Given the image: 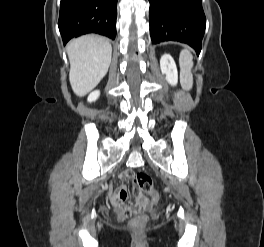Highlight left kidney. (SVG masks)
<instances>
[{"label":"left kidney","mask_w":264,"mask_h":247,"mask_svg":"<svg viewBox=\"0 0 264 247\" xmlns=\"http://www.w3.org/2000/svg\"><path fill=\"white\" fill-rule=\"evenodd\" d=\"M162 74L166 75V81L175 86L178 82V72L174 59L169 54H164L160 59Z\"/></svg>","instance_id":"5707ae66"}]
</instances>
